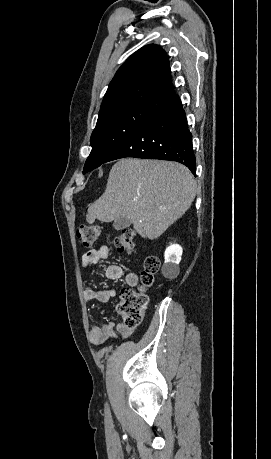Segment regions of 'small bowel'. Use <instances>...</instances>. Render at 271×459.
I'll return each mask as SVG.
<instances>
[{"label":"small bowel","mask_w":271,"mask_h":459,"mask_svg":"<svg viewBox=\"0 0 271 459\" xmlns=\"http://www.w3.org/2000/svg\"><path fill=\"white\" fill-rule=\"evenodd\" d=\"M109 254L110 251L107 246H101L98 249H91L82 256L81 265L88 273H92L93 266L99 261L108 258ZM123 275V268L117 264L108 265L104 271V276L110 280L120 279ZM125 281L128 286L135 287L139 283V278L137 274L128 272L125 275ZM83 296L87 302L98 301L106 303L117 296V289L114 287H108L100 291H95L91 288H86L83 292ZM135 330V327H128L123 323L115 324L113 322H109L101 327H93L90 330L89 338L92 344L99 346L106 340L114 338L115 331H118L121 337L125 339L130 337Z\"/></svg>","instance_id":"c3829d8e"}]
</instances>
